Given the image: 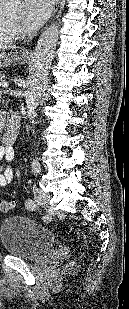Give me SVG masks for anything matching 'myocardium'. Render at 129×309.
<instances>
[{
  "label": "myocardium",
  "instance_id": "f54148a6",
  "mask_svg": "<svg viewBox=\"0 0 129 309\" xmlns=\"http://www.w3.org/2000/svg\"><path fill=\"white\" fill-rule=\"evenodd\" d=\"M8 24L12 28V30L15 32V34H20L21 33V27L20 25L14 23L11 19L7 18Z\"/></svg>",
  "mask_w": 129,
  "mask_h": 309
}]
</instances>
